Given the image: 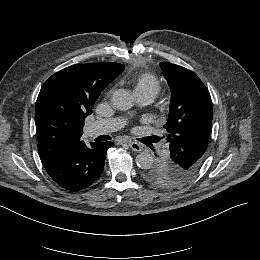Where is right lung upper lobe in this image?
<instances>
[{
    "label": "right lung upper lobe",
    "instance_id": "cb5924a9",
    "mask_svg": "<svg viewBox=\"0 0 260 260\" xmlns=\"http://www.w3.org/2000/svg\"><path fill=\"white\" fill-rule=\"evenodd\" d=\"M125 66L114 62L77 64L52 75L42 86L35 108L38 152L45 168L81 142L85 118L101 91Z\"/></svg>",
    "mask_w": 260,
    "mask_h": 260
}]
</instances>
